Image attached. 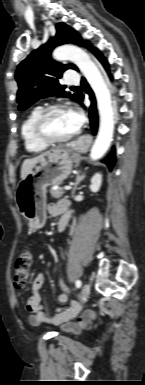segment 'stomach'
<instances>
[{"instance_id": "1", "label": "stomach", "mask_w": 145, "mask_h": 385, "mask_svg": "<svg viewBox=\"0 0 145 385\" xmlns=\"http://www.w3.org/2000/svg\"><path fill=\"white\" fill-rule=\"evenodd\" d=\"M72 166L70 150L55 148L46 152L18 183L15 201L19 212L28 220L31 231L42 228L46 222L47 187L67 179Z\"/></svg>"}]
</instances>
